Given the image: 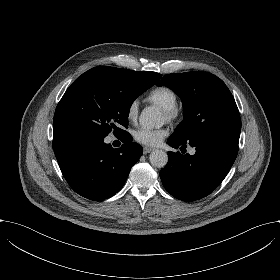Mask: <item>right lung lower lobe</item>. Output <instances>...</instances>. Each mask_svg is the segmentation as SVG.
<instances>
[{"instance_id": "obj_1", "label": "right lung lower lobe", "mask_w": 280, "mask_h": 280, "mask_svg": "<svg viewBox=\"0 0 280 280\" xmlns=\"http://www.w3.org/2000/svg\"><path fill=\"white\" fill-rule=\"evenodd\" d=\"M114 149L104 139L70 136L53 144L61 172L70 187L79 195L94 201L116 194L125 184L132 166L143 153L131 142Z\"/></svg>"}]
</instances>
